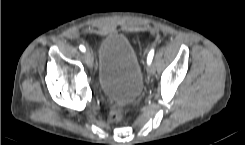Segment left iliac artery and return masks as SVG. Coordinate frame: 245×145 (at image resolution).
<instances>
[{
  "label": "left iliac artery",
  "mask_w": 245,
  "mask_h": 145,
  "mask_svg": "<svg viewBox=\"0 0 245 145\" xmlns=\"http://www.w3.org/2000/svg\"><path fill=\"white\" fill-rule=\"evenodd\" d=\"M153 56H154V49H151L149 54H148V57H147V63L148 64H150L152 62Z\"/></svg>",
  "instance_id": "left-iliac-artery-1"
}]
</instances>
